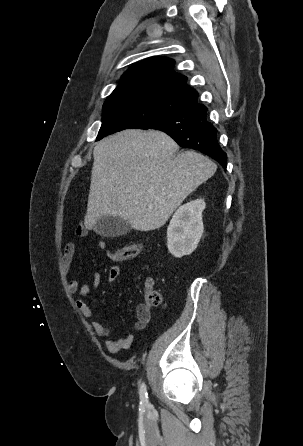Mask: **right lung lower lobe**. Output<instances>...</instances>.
Listing matches in <instances>:
<instances>
[{"label": "right lung lower lobe", "mask_w": 303, "mask_h": 446, "mask_svg": "<svg viewBox=\"0 0 303 446\" xmlns=\"http://www.w3.org/2000/svg\"><path fill=\"white\" fill-rule=\"evenodd\" d=\"M207 109L197 101L173 112L159 116L140 129L161 130L171 136L181 147L198 150L226 169V153L217 141V130L208 121Z\"/></svg>", "instance_id": "1"}]
</instances>
